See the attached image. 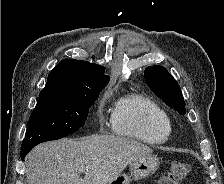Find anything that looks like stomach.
Returning <instances> with one entry per match:
<instances>
[{
    "mask_svg": "<svg viewBox=\"0 0 224 184\" xmlns=\"http://www.w3.org/2000/svg\"><path fill=\"white\" fill-rule=\"evenodd\" d=\"M160 164L156 156L149 155L130 163V175L120 174L107 184H130L131 180L146 178L158 169Z\"/></svg>",
    "mask_w": 224,
    "mask_h": 184,
    "instance_id": "1",
    "label": "stomach"
}]
</instances>
